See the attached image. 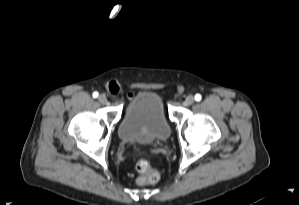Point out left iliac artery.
<instances>
[{"mask_svg": "<svg viewBox=\"0 0 299 205\" xmlns=\"http://www.w3.org/2000/svg\"><path fill=\"white\" fill-rule=\"evenodd\" d=\"M201 98H202V97H201V95H200V94H196V95H195V100H196V101H200V100H201Z\"/></svg>", "mask_w": 299, "mask_h": 205, "instance_id": "left-iliac-artery-1", "label": "left iliac artery"}]
</instances>
